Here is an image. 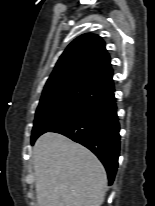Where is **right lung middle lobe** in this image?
Masks as SVG:
<instances>
[{
  "label": "right lung middle lobe",
  "instance_id": "right-lung-middle-lobe-1",
  "mask_svg": "<svg viewBox=\"0 0 155 206\" xmlns=\"http://www.w3.org/2000/svg\"><path fill=\"white\" fill-rule=\"evenodd\" d=\"M105 96L106 94L99 90L84 86L43 91L36 111L31 143L41 134L92 107Z\"/></svg>",
  "mask_w": 155,
  "mask_h": 206
}]
</instances>
